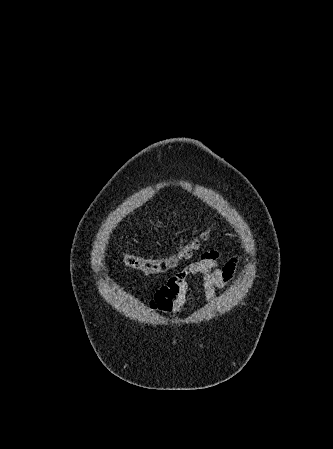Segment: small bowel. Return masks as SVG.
<instances>
[{"label":"small bowel","mask_w":333,"mask_h":449,"mask_svg":"<svg viewBox=\"0 0 333 449\" xmlns=\"http://www.w3.org/2000/svg\"><path fill=\"white\" fill-rule=\"evenodd\" d=\"M219 253L205 252L201 258L185 267L179 273L171 276L167 283L154 293L149 303L153 312L164 316L180 314L187 303L190 289L189 278L200 277L203 283V292L210 302L215 300V291H224L234 281L238 260L229 259L223 266H218Z\"/></svg>","instance_id":"c3829d8e"}]
</instances>
